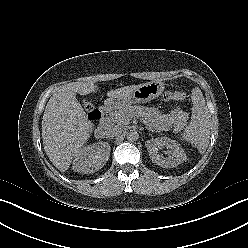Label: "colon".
Returning a JSON list of instances; mask_svg holds the SVG:
<instances>
[{
	"instance_id": "colon-1",
	"label": "colon",
	"mask_w": 248,
	"mask_h": 248,
	"mask_svg": "<svg viewBox=\"0 0 248 248\" xmlns=\"http://www.w3.org/2000/svg\"><path fill=\"white\" fill-rule=\"evenodd\" d=\"M161 99L163 101H170V100L184 101L186 99V95L185 93L179 91H167L162 95ZM85 107L89 120L96 123L98 120L99 109L97 108L95 103L91 101H87Z\"/></svg>"
}]
</instances>
